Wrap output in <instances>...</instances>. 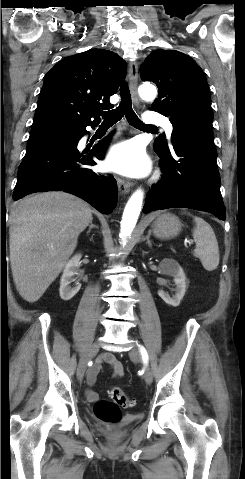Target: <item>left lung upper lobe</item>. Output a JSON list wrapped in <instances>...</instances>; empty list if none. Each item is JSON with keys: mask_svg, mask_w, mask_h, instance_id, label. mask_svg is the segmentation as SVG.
Returning <instances> with one entry per match:
<instances>
[{"mask_svg": "<svg viewBox=\"0 0 245 479\" xmlns=\"http://www.w3.org/2000/svg\"><path fill=\"white\" fill-rule=\"evenodd\" d=\"M140 71L143 81H153L159 88L150 110L169 118L173 125L171 139L192 134L212 137L213 113L207 80L190 56L176 50H155ZM153 147L168 150L165 135L157 138Z\"/></svg>", "mask_w": 245, "mask_h": 479, "instance_id": "5c2ea615", "label": "left lung upper lobe"}]
</instances>
